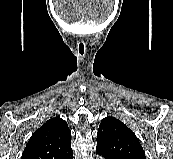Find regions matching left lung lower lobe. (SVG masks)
Here are the masks:
<instances>
[{
    "label": "left lung lower lobe",
    "mask_w": 173,
    "mask_h": 159,
    "mask_svg": "<svg viewBox=\"0 0 173 159\" xmlns=\"http://www.w3.org/2000/svg\"><path fill=\"white\" fill-rule=\"evenodd\" d=\"M96 153L103 156L105 159H110L109 157L105 156L103 153H101L100 151L96 150Z\"/></svg>",
    "instance_id": "obj_1"
}]
</instances>
